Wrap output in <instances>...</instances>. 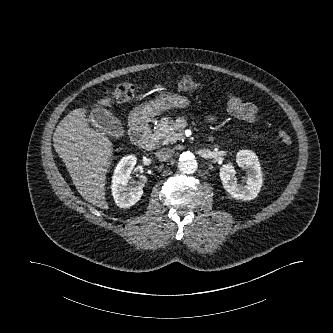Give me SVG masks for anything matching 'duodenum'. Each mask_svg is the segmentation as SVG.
<instances>
[{
    "instance_id": "obj_1",
    "label": "duodenum",
    "mask_w": 333,
    "mask_h": 333,
    "mask_svg": "<svg viewBox=\"0 0 333 333\" xmlns=\"http://www.w3.org/2000/svg\"><path fill=\"white\" fill-rule=\"evenodd\" d=\"M130 135L134 144L144 150H153L156 146V139L150 132L146 114H140L132 120Z\"/></svg>"
}]
</instances>
